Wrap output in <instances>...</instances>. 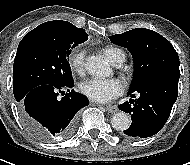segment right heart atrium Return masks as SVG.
<instances>
[{
    "mask_svg": "<svg viewBox=\"0 0 190 165\" xmlns=\"http://www.w3.org/2000/svg\"><path fill=\"white\" fill-rule=\"evenodd\" d=\"M85 51L74 50L69 57V65L77 74H83L85 68Z\"/></svg>",
    "mask_w": 190,
    "mask_h": 165,
    "instance_id": "right-heart-atrium-1",
    "label": "right heart atrium"
}]
</instances>
